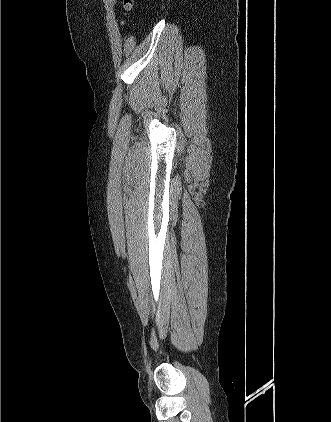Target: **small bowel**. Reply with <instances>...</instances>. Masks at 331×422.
Listing matches in <instances>:
<instances>
[{"instance_id":"c3829d8e","label":"small bowel","mask_w":331,"mask_h":422,"mask_svg":"<svg viewBox=\"0 0 331 422\" xmlns=\"http://www.w3.org/2000/svg\"><path fill=\"white\" fill-rule=\"evenodd\" d=\"M106 1H107V4L111 7H113L115 4V0H106Z\"/></svg>"}]
</instances>
